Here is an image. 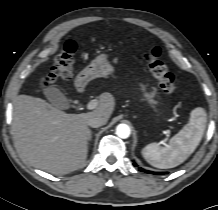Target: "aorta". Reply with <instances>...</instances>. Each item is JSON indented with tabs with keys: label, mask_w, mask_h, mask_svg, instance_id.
<instances>
[{
	"label": "aorta",
	"mask_w": 218,
	"mask_h": 210,
	"mask_svg": "<svg viewBox=\"0 0 218 210\" xmlns=\"http://www.w3.org/2000/svg\"><path fill=\"white\" fill-rule=\"evenodd\" d=\"M116 134L120 138H128L130 136V127L126 124H119L116 127Z\"/></svg>",
	"instance_id": "obj_1"
}]
</instances>
